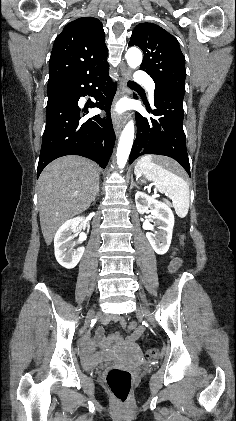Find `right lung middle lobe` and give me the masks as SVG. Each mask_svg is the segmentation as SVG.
<instances>
[{"instance_id":"right-lung-middle-lobe-1","label":"right lung middle lobe","mask_w":236,"mask_h":421,"mask_svg":"<svg viewBox=\"0 0 236 421\" xmlns=\"http://www.w3.org/2000/svg\"><path fill=\"white\" fill-rule=\"evenodd\" d=\"M47 94H48V102H52L55 101L57 99L60 98H64L67 95L65 94V92L59 88H55V87H47Z\"/></svg>"}]
</instances>
